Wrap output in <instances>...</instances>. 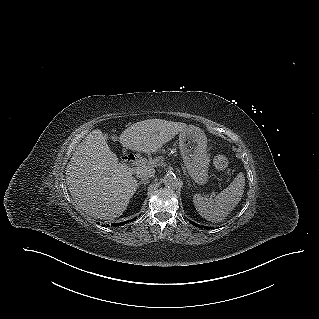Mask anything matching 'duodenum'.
<instances>
[{"label":"duodenum","instance_id":"duodenum-1","mask_svg":"<svg viewBox=\"0 0 319 319\" xmlns=\"http://www.w3.org/2000/svg\"><path fill=\"white\" fill-rule=\"evenodd\" d=\"M124 160L127 163H134L137 161L135 155L129 151H125Z\"/></svg>","mask_w":319,"mask_h":319}]
</instances>
